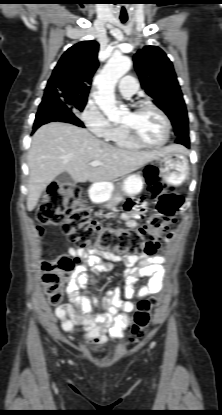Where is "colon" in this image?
<instances>
[{
	"label": "colon",
	"mask_w": 222,
	"mask_h": 415,
	"mask_svg": "<svg viewBox=\"0 0 222 415\" xmlns=\"http://www.w3.org/2000/svg\"><path fill=\"white\" fill-rule=\"evenodd\" d=\"M145 178L155 200V214L141 226L115 230L91 219L89 209L82 200L81 189L67 183H51L37 210V220L45 226L59 225L62 232L78 249L99 254L152 255L168 231L174 214L180 207L179 195L168 191L159 181L152 168L145 170ZM140 210H147L148 200L137 203ZM75 265L70 257L61 258L57 264L42 262L45 272L43 282L48 287L50 301L56 305L60 300V284ZM156 301L144 299L138 303L131 328L132 337L145 333Z\"/></svg>",
	"instance_id": "colon-1"
}]
</instances>
